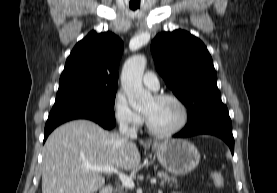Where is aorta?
Here are the masks:
<instances>
[{
  "mask_svg": "<svg viewBox=\"0 0 277 193\" xmlns=\"http://www.w3.org/2000/svg\"><path fill=\"white\" fill-rule=\"evenodd\" d=\"M144 55H134L129 58L122 68L121 85L132 107H139L152 98L149 91L142 85V77L146 67Z\"/></svg>",
  "mask_w": 277,
  "mask_h": 193,
  "instance_id": "762f6f07",
  "label": "aorta"
}]
</instances>
